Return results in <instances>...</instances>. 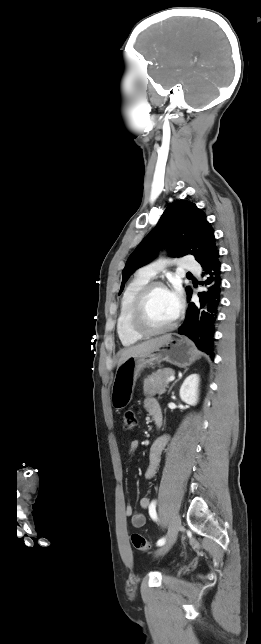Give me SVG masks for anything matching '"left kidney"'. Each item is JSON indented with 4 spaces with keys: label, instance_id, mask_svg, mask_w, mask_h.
Returning <instances> with one entry per match:
<instances>
[{
    "label": "left kidney",
    "instance_id": "obj_1",
    "mask_svg": "<svg viewBox=\"0 0 261 644\" xmlns=\"http://www.w3.org/2000/svg\"><path fill=\"white\" fill-rule=\"evenodd\" d=\"M199 382L200 378L198 374H191L184 380L179 393L183 402L192 406L197 404L199 396Z\"/></svg>",
    "mask_w": 261,
    "mask_h": 644
}]
</instances>
